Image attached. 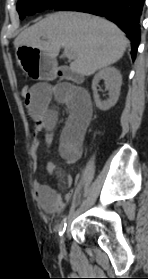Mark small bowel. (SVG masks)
<instances>
[{
    "instance_id": "c3829d8e",
    "label": "small bowel",
    "mask_w": 148,
    "mask_h": 279,
    "mask_svg": "<svg viewBox=\"0 0 148 279\" xmlns=\"http://www.w3.org/2000/svg\"><path fill=\"white\" fill-rule=\"evenodd\" d=\"M53 102L65 104L70 109V116L61 133L59 153L67 163L74 164L83 153L84 138L93 113L91 99L86 91L71 84L37 83L31 87L25 105L34 121L36 134H43L48 144L53 140L58 119ZM39 146L40 141L35 137L31 151L37 153ZM46 170L56 174L63 186L71 187L75 181L52 163L46 165ZM33 187L38 203L49 212L62 210L73 194L72 190L60 194L41 180H36Z\"/></svg>"
}]
</instances>
